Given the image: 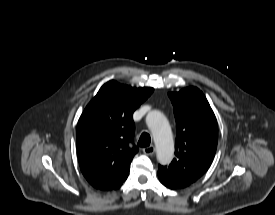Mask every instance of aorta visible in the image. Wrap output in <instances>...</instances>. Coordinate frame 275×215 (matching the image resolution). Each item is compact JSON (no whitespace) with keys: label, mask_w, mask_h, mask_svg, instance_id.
Returning a JSON list of instances; mask_svg holds the SVG:
<instances>
[{"label":"aorta","mask_w":275,"mask_h":215,"mask_svg":"<svg viewBox=\"0 0 275 215\" xmlns=\"http://www.w3.org/2000/svg\"><path fill=\"white\" fill-rule=\"evenodd\" d=\"M146 123L154 138L158 162L169 165L174 155V142L168 120L160 111L153 110L147 114Z\"/></svg>","instance_id":"762f6f07"}]
</instances>
